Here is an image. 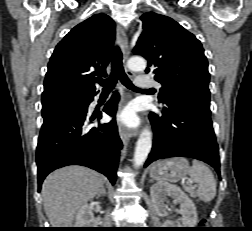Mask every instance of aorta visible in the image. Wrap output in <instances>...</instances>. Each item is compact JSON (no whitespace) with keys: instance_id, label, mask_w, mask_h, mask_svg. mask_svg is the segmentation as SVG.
Masks as SVG:
<instances>
[{"instance_id":"obj_1","label":"aorta","mask_w":252,"mask_h":231,"mask_svg":"<svg viewBox=\"0 0 252 231\" xmlns=\"http://www.w3.org/2000/svg\"><path fill=\"white\" fill-rule=\"evenodd\" d=\"M146 60L142 57H132L127 62V67L132 71H144ZM152 147V132L149 128H144L137 140L134 152V167H140L147 159Z\"/></svg>"}]
</instances>
